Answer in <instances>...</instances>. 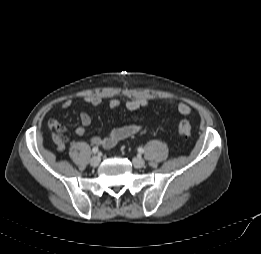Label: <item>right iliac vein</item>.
Segmentation results:
<instances>
[{"label": "right iliac vein", "instance_id": "right-iliac-vein-1", "mask_svg": "<svg viewBox=\"0 0 261 254\" xmlns=\"http://www.w3.org/2000/svg\"><path fill=\"white\" fill-rule=\"evenodd\" d=\"M100 161H101V158L100 156H93L91 159H90V165L92 167H97L99 164H100Z\"/></svg>", "mask_w": 261, "mask_h": 254}]
</instances>
